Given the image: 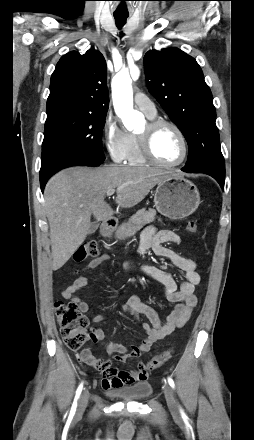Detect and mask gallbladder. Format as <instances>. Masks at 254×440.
Masks as SVG:
<instances>
[{"label":"gallbladder","mask_w":254,"mask_h":440,"mask_svg":"<svg viewBox=\"0 0 254 440\" xmlns=\"http://www.w3.org/2000/svg\"><path fill=\"white\" fill-rule=\"evenodd\" d=\"M98 227H99V223L97 221L92 222L91 225H90L88 233L89 234L95 233L96 230L98 229Z\"/></svg>","instance_id":"obj_1"}]
</instances>
